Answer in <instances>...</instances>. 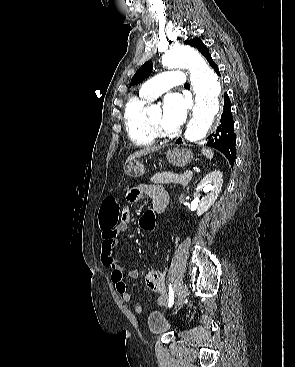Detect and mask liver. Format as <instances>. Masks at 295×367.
I'll use <instances>...</instances> for the list:
<instances>
[{"label":"liver","mask_w":295,"mask_h":367,"mask_svg":"<svg viewBox=\"0 0 295 367\" xmlns=\"http://www.w3.org/2000/svg\"><path fill=\"white\" fill-rule=\"evenodd\" d=\"M160 149H161V147H146V148H144V149H142V150L136 151L135 153L131 154V155L127 158L126 162L133 161V160H135L136 158H140V157L145 156V155H147V154H149V153L156 152V151H158V150H160Z\"/></svg>","instance_id":"liver-1"}]
</instances>
